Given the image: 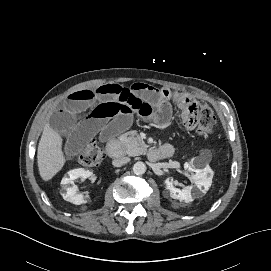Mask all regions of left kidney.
<instances>
[{
  "label": "left kidney",
  "mask_w": 271,
  "mask_h": 271,
  "mask_svg": "<svg viewBox=\"0 0 271 271\" xmlns=\"http://www.w3.org/2000/svg\"><path fill=\"white\" fill-rule=\"evenodd\" d=\"M192 172L195 173L191 174V180L199 190H207L211 186L213 173L209 167L206 166L203 169H192ZM164 184L165 188L169 190L171 198L186 203L193 200L191 195L193 186H186L181 190L176 188L170 179H166Z\"/></svg>",
  "instance_id": "obj_1"
}]
</instances>
